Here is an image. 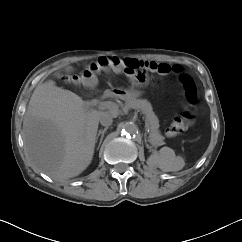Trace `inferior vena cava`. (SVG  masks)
Returning <instances> with one entry per match:
<instances>
[{
  "label": "inferior vena cava",
  "mask_w": 242,
  "mask_h": 242,
  "mask_svg": "<svg viewBox=\"0 0 242 242\" xmlns=\"http://www.w3.org/2000/svg\"><path fill=\"white\" fill-rule=\"evenodd\" d=\"M99 121L101 123L102 126L108 127L112 124L113 122V117L110 113L108 112H103L100 115Z\"/></svg>",
  "instance_id": "602c4592"
}]
</instances>
